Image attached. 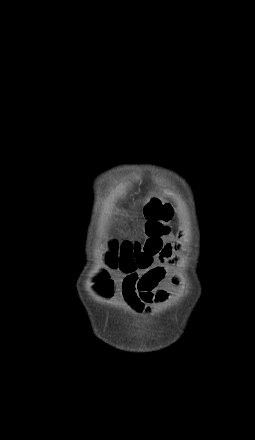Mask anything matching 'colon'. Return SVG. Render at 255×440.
<instances>
[{
	"label": "colon",
	"instance_id": "colon-1",
	"mask_svg": "<svg viewBox=\"0 0 255 440\" xmlns=\"http://www.w3.org/2000/svg\"><path fill=\"white\" fill-rule=\"evenodd\" d=\"M173 207L159 196H153L144 207V234L140 240L115 243L108 256L112 268L129 273L149 267L154 257L161 258L164 244L162 238L170 233L169 222L173 219ZM107 281H101L99 289L105 295Z\"/></svg>",
	"mask_w": 255,
	"mask_h": 440
}]
</instances>
